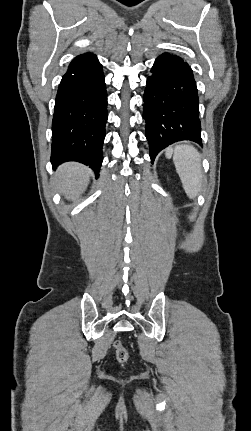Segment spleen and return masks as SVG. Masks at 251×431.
<instances>
[{
    "label": "spleen",
    "instance_id": "spleen-1",
    "mask_svg": "<svg viewBox=\"0 0 251 431\" xmlns=\"http://www.w3.org/2000/svg\"><path fill=\"white\" fill-rule=\"evenodd\" d=\"M173 155L176 171L189 198H195L201 190L203 171L201 157L191 145H176L166 150V157Z\"/></svg>",
    "mask_w": 251,
    "mask_h": 431
}]
</instances>
